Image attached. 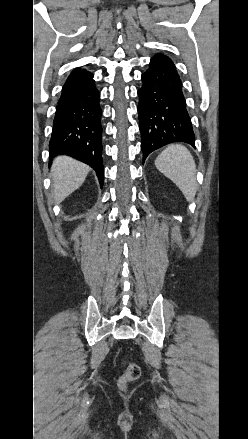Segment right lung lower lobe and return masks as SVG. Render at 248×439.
Instances as JSON below:
<instances>
[{
  "label": "right lung lower lobe",
  "mask_w": 248,
  "mask_h": 439,
  "mask_svg": "<svg viewBox=\"0 0 248 439\" xmlns=\"http://www.w3.org/2000/svg\"><path fill=\"white\" fill-rule=\"evenodd\" d=\"M100 93L93 75L85 70L72 71L58 101L49 142L50 158L70 155L90 165L103 186L102 110Z\"/></svg>",
  "instance_id": "1"
}]
</instances>
